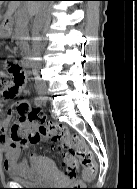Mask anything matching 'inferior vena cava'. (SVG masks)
I'll return each instance as SVG.
<instances>
[{
	"label": "inferior vena cava",
	"mask_w": 137,
	"mask_h": 189,
	"mask_svg": "<svg viewBox=\"0 0 137 189\" xmlns=\"http://www.w3.org/2000/svg\"><path fill=\"white\" fill-rule=\"evenodd\" d=\"M49 2H44L42 7L38 10L34 24H33V29H32V36L33 38V43H32V51L34 55H39V51L41 48L40 41L38 40V35L40 30L42 29V24L44 17L48 14V8ZM34 76L37 80H35V83L37 85V88H48L47 85V77L45 76V71L43 67V62H36V69H35Z\"/></svg>",
	"instance_id": "602c4592"
}]
</instances>
